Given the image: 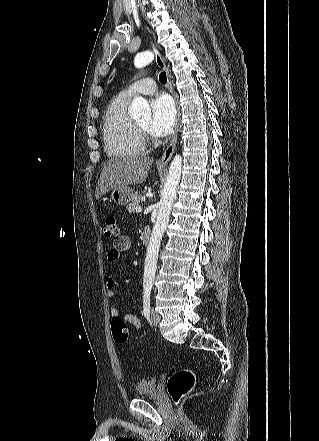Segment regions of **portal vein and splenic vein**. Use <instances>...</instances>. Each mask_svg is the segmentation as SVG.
Segmentation results:
<instances>
[{"label": "portal vein and splenic vein", "mask_w": 319, "mask_h": 441, "mask_svg": "<svg viewBox=\"0 0 319 441\" xmlns=\"http://www.w3.org/2000/svg\"><path fill=\"white\" fill-rule=\"evenodd\" d=\"M142 211V207L138 206L136 207V212H141Z\"/></svg>", "instance_id": "obj_1"}]
</instances>
